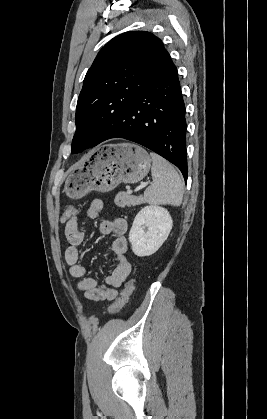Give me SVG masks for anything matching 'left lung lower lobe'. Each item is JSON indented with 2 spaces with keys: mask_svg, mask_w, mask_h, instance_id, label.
Listing matches in <instances>:
<instances>
[{
  "mask_svg": "<svg viewBox=\"0 0 267 419\" xmlns=\"http://www.w3.org/2000/svg\"><path fill=\"white\" fill-rule=\"evenodd\" d=\"M185 114L177 68L168 54L122 116L102 125L91 147L111 138L136 142L176 165L186 181Z\"/></svg>",
  "mask_w": 267,
  "mask_h": 419,
  "instance_id": "left-lung-lower-lobe-1",
  "label": "left lung lower lobe"
}]
</instances>
